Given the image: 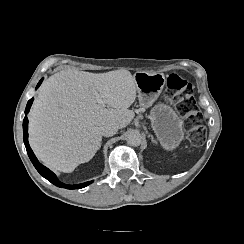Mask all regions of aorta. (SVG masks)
<instances>
[{
    "label": "aorta",
    "mask_w": 244,
    "mask_h": 244,
    "mask_svg": "<svg viewBox=\"0 0 244 244\" xmlns=\"http://www.w3.org/2000/svg\"><path fill=\"white\" fill-rule=\"evenodd\" d=\"M141 140V135L138 131H131L126 137V141L130 146H139L141 144Z\"/></svg>",
    "instance_id": "obj_1"
}]
</instances>
